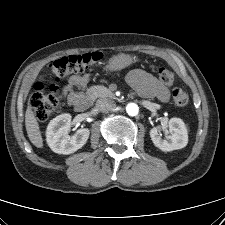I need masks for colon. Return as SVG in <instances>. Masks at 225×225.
<instances>
[{"label":"colon","instance_id":"5ec220e1","mask_svg":"<svg viewBox=\"0 0 225 225\" xmlns=\"http://www.w3.org/2000/svg\"><path fill=\"white\" fill-rule=\"evenodd\" d=\"M101 57L99 52L70 55L55 60L50 64V68L56 77L60 78L69 73L84 72L89 67L97 65ZM158 74L164 84L174 82L175 77L170 70L161 67L158 69ZM172 94L176 105L184 107L188 104V95L182 88L175 87ZM59 102L60 94L55 86H51V91L47 93L42 82L36 83L30 98V106L39 121H46L53 114Z\"/></svg>","mask_w":225,"mask_h":225}]
</instances>
